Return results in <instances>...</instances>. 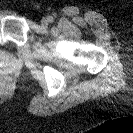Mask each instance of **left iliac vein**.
Masks as SVG:
<instances>
[{"label":"left iliac vein","instance_id":"obj_1","mask_svg":"<svg viewBox=\"0 0 133 133\" xmlns=\"http://www.w3.org/2000/svg\"><path fill=\"white\" fill-rule=\"evenodd\" d=\"M49 23H50V21H49V18H48V17H45V18H43V19L41 20V24H42L43 26H47Z\"/></svg>","mask_w":133,"mask_h":133}]
</instances>
